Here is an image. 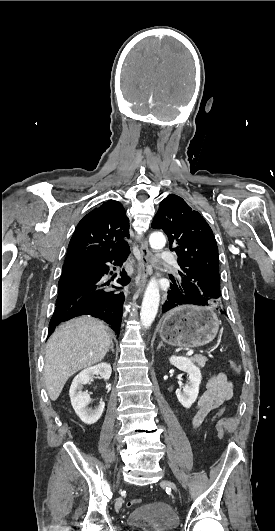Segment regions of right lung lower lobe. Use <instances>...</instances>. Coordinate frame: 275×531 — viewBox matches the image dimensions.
Here are the masks:
<instances>
[{
  "instance_id": "right-lung-lower-lobe-1",
  "label": "right lung lower lobe",
  "mask_w": 275,
  "mask_h": 531,
  "mask_svg": "<svg viewBox=\"0 0 275 531\" xmlns=\"http://www.w3.org/2000/svg\"><path fill=\"white\" fill-rule=\"evenodd\" d=\"M130 253L129 246L118 252L98 257L80 258L65 261L58 283L56 308L49 323L48 335L61 322L81 315L100 318L120 333L122 320L123 292L109 289V282L102 277L109 272V263L121 266ZM115 269V268H114ZM117 282L129 283L130 278L123 269ZM113 288H116L112 285Z\"/></svg>"
}]
</instances>
